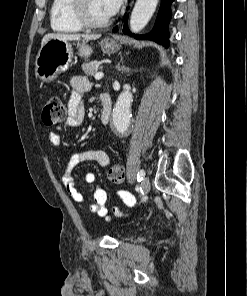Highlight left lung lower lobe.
I'll return each mask as SVG.
<instances>
[{
  "label": "left lung lower lobe",
  "instance_id": "obj_1",
  "mask_svg": "<svg viewBox=\"0 0 247 296\" xmlns=\"http://www.w3.org/2000/svg\"><path fill=\"white\" fill-rule=\"evenodd\" d=\"M174 0H161V5H160V9L156 18V22L154 25L153 30L146 35H133L127 26V18L125 19V25L123 27V33L130 35V36H134L137 39H149V40H153L159 44H162L164 46H168L169 45V30H168V25L170 22V19L172 17V13H171V3ZM117 31V27H115L113 29V32Z\"/></svg>",
  "mask_w": 247,
  "mask_h": 296
}]
</instances>
